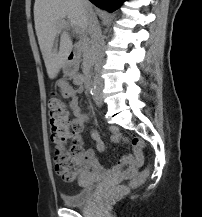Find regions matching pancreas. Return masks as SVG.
Returning <instances> with one entry per match:
<instances>
[{
  "mask_svg": "<svg viewBox=\"0 0 202 217\" xmlns=\"http://www.w3.org/2000/svg\"><path fill=\"white\" fill-rule=\"evenodd\" d=\"M79 49L82 52L83 65L84 67H86L90 64L93 55L91 41L90 38L87 36V34H83L80 37Z\"/></svg>",
  "mask_w": 202,
  "mask_h": 217,
  "instance_id": "cf45deb5",
  "label": "pancreas"
}]
</instances>
